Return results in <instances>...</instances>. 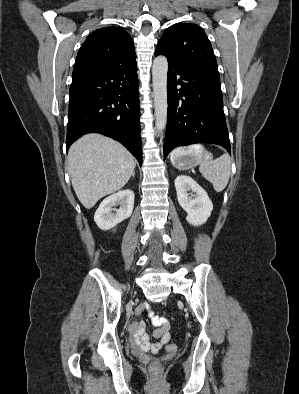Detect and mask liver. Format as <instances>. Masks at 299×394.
Instances as JSON below:
<instances>
[{
    "label": "liver",
    "mask_w": 299,
    "mask_h": 394,
    "mask_svg": "<svg viewBox=\"0 0 299 394\" xmlns=\"http://www.w3.org/2000/svg\"><path fill=\"white\" fill-rule=\"evenodd\" d=\"M134 168L131 153L119 142L100 134L81 137L68 152L72 186L87 209L124 187Z\"/></svg>",
    "instance_id": "obj_1"
}]
</instances>
